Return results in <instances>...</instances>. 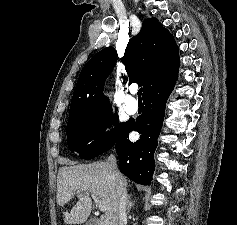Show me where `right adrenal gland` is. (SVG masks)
Segmentation results:
<instances>
[{
    "mask_svg": "<svg viewBox=\"0 0 237 225\" xmlns=\"http://www.w3.org/2000/svg\"><path fill=\"white\" fill-rule=\"evenodd\" d=\"M135 205V201H131V195L127 197V213H130L131 208Z\"/></svg>",
    "mask_w": 237,
    "mask_h": 225,
    "instance_id": "obj_1",
    "label": "right adrenal gland"
}]
</instances>
